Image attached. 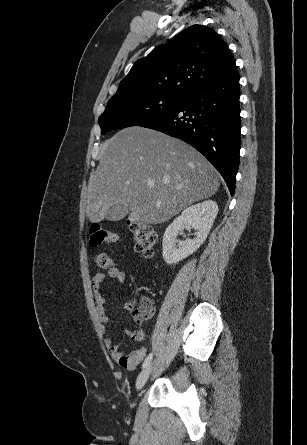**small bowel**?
<instances>
[{"label": "small bowel", "mask_w": 307, "mask_h": 445, "mask_svg": "<svg viewBox=\"0 0 307 445\" xmlns=\"http://www.w3.org/2000/svg\"><path fill=\"white\" fill-rule=\"evenodd\" d=\"M106 277L117 280L122 283L125 281L127 277V273L124 270H121L117 267H113L107 270L106 273H96L92 280L91 286L93 289L94 299L97 305V316L102 323H107L109 321V317L106 311V304L108 302L107 298L101 293L100 288L101 284L105 280ZM139 331H125V334L131 339H136ZM105 343L109 350L111 357L118 362V364L126 369V370H134L144 359L146 355V349L142 346L138 347L134 351L130 353H125L120 349V345L115 343L111 338H106Z\"/></svg>", "instance_id": "c3829d8e"}]
</instances>
